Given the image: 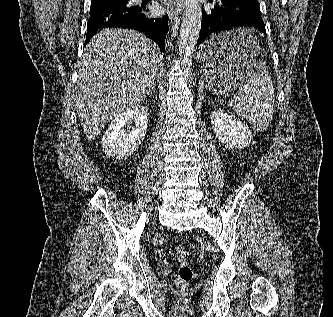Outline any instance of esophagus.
<instances>
[{
    "label": "esophagus",
    "instance_id": "1",
    "mask_svg": "<svg viewBox=\"0 0 333 317\" xmlns=\"http://www.w3.org/2000/svg\"><path fill=\"white\" fill-rule=\"evenodd\" d=\"M184 4V0H169L168 2V14L170 19L172 20L175 15L181 13L182 7Z\"/></svg>",
    "mask_w": 333,
    "mask_h": 317
}]
</instances>
